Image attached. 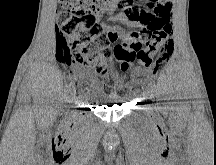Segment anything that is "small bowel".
Here are the masks:
<instances>
[{
	"instance_id": "small-bowel-1",
	"label": "small bowel",
	"mask_w": 216,
	"mask_h": 165,
	"mask_svg": "<svg viewBox=\"0 0 216 165\" xmlns=\"http://www.w3.org/2000/svg\"><path fill=\"white\" fill-rule=\"evenodd\" d=\"M121 0H117L114 5L108 8L111 10L112 7L120 3ZM171 0H144L142 4H138V2H127V5H120L118 8V12L112 16H110L109 21L111 22H120L132 29L133 31L126 33L117 29L116 27L110 26L107 22L102 21V27L105 30L106 35L109 38L110 43L116 42L118 39H123L124 41L132 39V33L134 31H138L144 29L147 26V22L140 19H134L130 16L129 13H157L158 10H169L171 7ZM128 66L121 69L122 71H126ZM87 79L90 81V90L92 93H100L101 88L97 81L90 75H86Z\"/></svg>"
}]
</instances>
